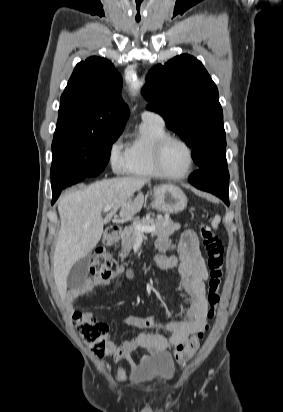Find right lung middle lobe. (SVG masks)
<instances>
[{
	"mask_svg": "<svg viewBox=\"0 0 283 412\" xmlns=\"http://www.w3.org/2000/svg\"><path fill=\"white\" fill-rule=\"evenodd\" d=\"M122 131L100 133L77 119H58L52 142L51 179L105 167Z\"/></svg>",
	"mask_w": 283,
	"mask_h": 412,
	"instance_id": "obj_1",
	"label": "right lung middle lobe"
}]
</instances>
